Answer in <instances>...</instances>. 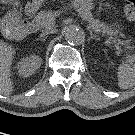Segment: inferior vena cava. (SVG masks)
Returning <instances> with one entry per match:
<instances>
[{
    "label": "inferior vena cava",
    "instance_id": "1",
    "mask_svg": "<svg viewBox=\"0 0 135 135\" xmlns=\"http://www.w3.org/2000/svg\"><path fill=\"white\" fill-rule=\"evenodd\" d=\"M55 32H56V30L45 31V32H43V33L41 34V36H45V35H48V34H50V33H55Z\"/></svg>",
    "mask_w": 135,
    "mask_h": 135
}]
</instances>
